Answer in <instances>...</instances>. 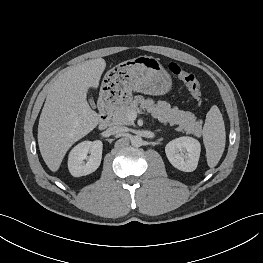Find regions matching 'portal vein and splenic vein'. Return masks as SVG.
I'll list each match as a JSON object with an SVG mask.
<instances>
[{
    "label": "portal vein and splenic vein",
    "instance_id": "18ae733b",
    "mask_svg": "<svg viewBox=\"0 0 263 263\" xmlns=\"http://www.w3.org/2000/svg\"><path fill=\"white\" fill-rule=\"evenodd\" d=\"M136 116H137V113H136V112H131V113L129 114V119L132 120V121H134V120L136 119Z\"/></svg>",
    "mask_w": 263,
    "mask_h": 263
}]
</instances>
